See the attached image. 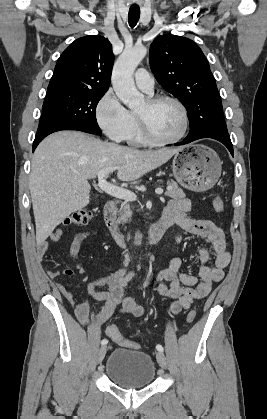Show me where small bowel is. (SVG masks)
<instances>
[{
	"label": "small bowel",
	"mask_w": 267,
	"mask_h": 419,
	"mask_svg": "<svg viewBox=\"0 0 267 419\" xmlns=\"http://www.w3.org/2000/svg\"><path fill=\"white\" fill-rule=\"evenodd\" d=\"M191 208L192 203L189 199L172 200L163 216L169 219L172 224L181 227L185 235L193 234L207 239L212 245L215 256L214 263L213 266L209 265L210 252L207 248H202L199 252L201 265L198 277L182 271V261L179 257L172 258L169 266L157 274V291L173 301L170 306L173 313L190 308L194 300L205 298L210 293L213 284L223 279L225 268L230 262V253L227 249L223 231L212 221L188 217ZM95 233L96 231L93 229L79 232L70 244V254L77 256L83 241ZM60 236L61 231L56 230L50 236V240L57 241ZM182 238L181 235L176 237L177 245L181 243ZM48 247L49 243L47 241L40 242L37 245L36 255L39 260L43 259ZM48 275L54 279L59 276V272L49 270ZM133 276V272L120 269L88 285V294L95 300L104 302L103 308L93 318L89 317L90 304L87 299L76 303L63 283L58 282L56 285L61 295L74 307L75 316L81 324H101L113 314L118 304H121L120 311L122 313L135 317L143 314V308L137 305L132 298L123 297V288ZM167 283L169 284L167 285ZM101 287H107V290L100 291L99 288Z\"/></svg>",
	"instance_id": "c3829d8e"
}]
</instances>
